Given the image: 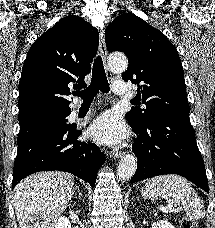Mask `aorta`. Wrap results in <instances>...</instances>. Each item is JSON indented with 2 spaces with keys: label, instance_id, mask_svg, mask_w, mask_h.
Returning a JSON list of instances; mask_svg holds the SVG:
<instances>
[{
  "label": "aorta",
  "instance_id": "1",
  "mask_svg": "<svg viewBox=\"0 0 215 228\" xmlns=\"http://www.w3.org/2000/svg\"><path fill=\"white\" fill-rule=\"evenodd\" d=\"M109 60L111 66L116 68V70H120V72H124V70L128 68V60L123 54H119V56L114 54V56H110ZM136 168L137 158H135V156H125L117 166V176L120 182L131 180L136 172Z\"/></svg>",
  "mask_w": 215,
  "mask_h": 228
}]
</instances>
